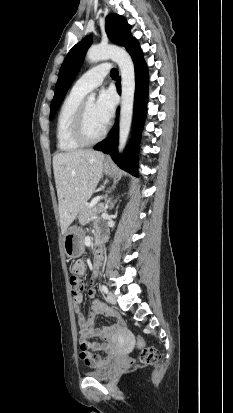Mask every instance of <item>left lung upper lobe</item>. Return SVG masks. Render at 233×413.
Wrapping results in <instances>:
<instances>
[{"mask_svg": "<svg viewBox=\"0 0 233 413\" xmlns=\"http://www.w3.org/2000/svg\"><path fill=\"white\" fill-rule=\"evenodd\" d=\"M105 29L110 40L124 46L127 51L138 44L137 40L133 38L130 33V25L126 22L125 18L120 15H108L106 17ZM90 44L91 36H87L77 43L67 54L59 71L55 94L51 104L50 119L54 117L60 103L80 69L85 52Z\"/></svg>", "mask_w": 233, "mask_h": 413, "instance_id": "5c2ea615", "label": "left lung upper lobe"}]
</instances>
